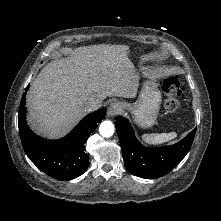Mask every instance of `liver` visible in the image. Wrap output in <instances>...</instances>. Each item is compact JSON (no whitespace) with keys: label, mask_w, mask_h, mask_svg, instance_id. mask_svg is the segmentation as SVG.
Masks as SVG:
<instances>
[{"label":"liver","mask_w":221,"mask_h":221,"mask_svg":"<svg viewBox=\"0 0 221 221\" xmlns=\"http://www.w3.org/2000/svg\"><path fill=\"white\" fill-rule=\"evenodd\" d=\"M128 50L124 45L84 46L71 50L68 58L47 64L28 94L31 127L58 138L87 113L89 100L135 97L138 83Z\"/></svg>","instance_id":"6515ba94"}]
</instances>
